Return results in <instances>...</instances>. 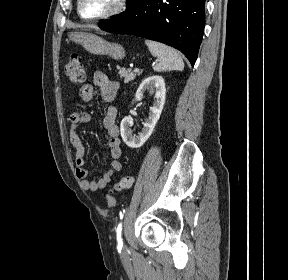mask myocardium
Wrapping results in <instances>:
<instances>
[{
	"instance_id": "1",
	"label": "myocardium",
	"mask_w": 288,
	"mask_h": 280,
	"mask_svg": "<svg viewBox=\"0 0 288 280\" xmlns=\"http://www.w3.org/2000/svg\"><path fill=\"white\" fill-rule=\"evenodd\" d=\"M82 1L83 0H77L76 10L80 19L87 21V22H97V21H102V20H106L114 16H117L126 9L127 3H128V0H117L115 6L112 9L108 10L107 12L101 15L95 16V17H86L81 12Z\"/></svg>"
}]
</instances>
